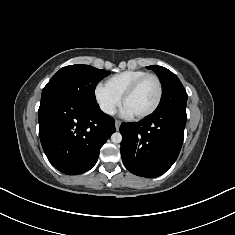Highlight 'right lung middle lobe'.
Returning <instances> with one entry per match:
<instances>
[{"label": "right lung middle lobe", "mask_w": 235, "mask_h": 235, "mask_svg": "<svg viewBox=\"0 0 235 235\" xmlns=\"http://www.w3.org/2000/svg\"><path fill=\"white\" fill-rule=\"evenodd\" d=\"M109 75L89 65H69L61 68L44 87L41 101L51 98H70L83 102H96L95 87Z\"/></svg>", "instance_id": "1"}]
</instances>
